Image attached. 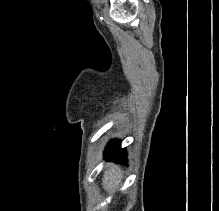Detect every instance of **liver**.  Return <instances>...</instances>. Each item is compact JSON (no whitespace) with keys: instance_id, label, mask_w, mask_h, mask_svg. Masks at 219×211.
<instances>
[{"instance_id":"6515ba94","label":"liver","mask_w":219,"mask_h":211,"mask_svg":"<svg viewBox=\"0 0 219 211\" xmlns=\"http://www.w3.org/2000/svg\"><path fill=\"white\" fill-rule=\"evenodd\" d=\"M123 177V169L119 167V165H115V163H111L108 169L104 171V175L102 177V185L106 191H115L118 185H120Z\"/></svg>"}]
</instances>
